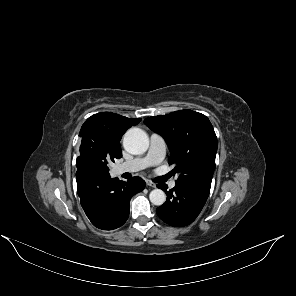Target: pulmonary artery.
Instances as JSON below:
<instances>
[{
	"instance_id": "1",
	"label": "pulmonary artery",
	"mask_w": 296,
	"mask_h": 296,
	"mask_svg": "<svg viewBox=\"0 0 296 296\" xmlns=\"http://www.w3.org/2000/svg\"><path fill=\"white\" fill-rule=\"evenodd\" d=\"M166 154V142L164 138L156 133L150 136V147L144 157H137L132 160L126 161L116 166L115 172L122 174L126 172H137L152 165L159 164ZM176 185L175 180L169 183L171 188Z\"/></svg>"
}]
</instances>
